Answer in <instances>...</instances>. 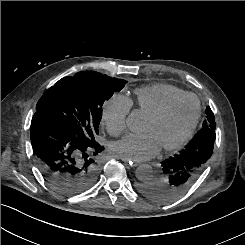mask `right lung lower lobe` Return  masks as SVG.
<instances>
[{
  "label": "right lung lower lobe",
  "mask_w": 245,
  "mask_h": 245,
  "mask_svg": "<svg viewBox=\"0 0 245 245\" xmlns=\"http://www.w3.org/2000/svg\"><path fill=\"white\" fill-rule=\"evenodd\" d=\"M30 138L38 169L59 193L79 194L97 180L104 147L95 140L85 141L41 111L32 118Z\"/></svg>",
  "instance_id": "obj_1"
}]
</instances>
